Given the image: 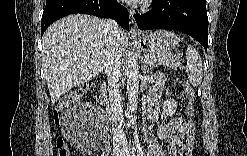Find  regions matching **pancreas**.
I'll return each mask as SVG.
<instances>
[{
  "mask_svg": "<svg viewBox=\"0 0 247 156\" xmlns=\"http://www.w3.org/2000/svg\"><path fill=\"white\" fill-rule=\"evenodd\" d=\"M145 58H148L147 63L150 66L166 65L174 69L177 67L176 61L171 54L148 53L145 55Z\"/></svg>",
  "mask_w": 247,
  "mask_h": 156,
  "instance_id": "1",
  "label": "pancreas"
}]
</instances>
